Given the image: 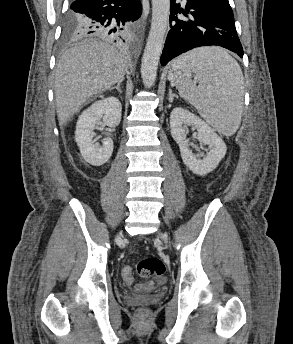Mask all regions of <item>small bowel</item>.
<instances>
[{
    "label": "small bowel",
    "instance_id": "1",
    "mask_svg": "<svg viewBox=\"0 0 293 344\" xmlns=\"http://www.w3.org/2000/svg\"><path fill=\"white\" fill-rule=\"evenodd\" d=\"M125 282H126L127 284H131V283L133 282V280H129V281L125 280ZM137 289H138V290H142L141 287H138Z\"/></svg>",
    "mask_w": 293,
    "mask_h": 344
}]
</instances>
